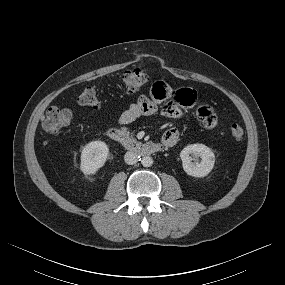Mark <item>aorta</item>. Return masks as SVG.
Here are the masks:
<instances>
[{
	"label": "aorta",
	"mask_w": 285,
	"mask_h": 285,
	"mask_svg": "<svg viewBox=\"0 0 285 285\" xmlns=\"http://www.w3.org/2000/svg\"><path fill=\"white\" fill-rule=\"evenodd\" d=\"M141 164H142L144 167H150V166H152V164H153V159H152V157H150V156H144V157H142V159H141Z\"/></svg>",
	"instance_id": "762f6f07"
}]
</instances>
